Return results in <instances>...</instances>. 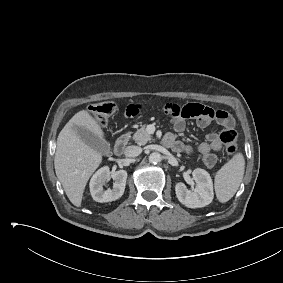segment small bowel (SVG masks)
Returning <instances> with one entry per match:
<instances>
[{"instance_id": "small-bowel-1", "label": "small bowel", "mask_w": 283, "mask_h": 283, "mask_svg": "<svg viewBox=\"0 0 283 283\" xmlns=\"http://www.w3.org/2000/svg\"><path fill=\"white\" fill-rule=\"evenodd\" d=\"M143 107L142 103L129 104L126 108L125 115L127 117L137 116L142 111ZM162 107L164 112L170 117L174 131V133H168L163 141L166 146L171 147L177 152L193 153V149L190 145L176 138V134L184 131L185 121L187 119H196L197 125L200 128H207L212 123H216L223 128H233L235 124L232 116L226 111L214 110L198 103H189L180 106L175 102H164ZM206 139L205 142H202L198 146V153L202 163L206 167L212 168L217 162V156L214 152L220 151L222 144L217 133L213 131L207 134Z\"/></svg>"}]
</instances>
